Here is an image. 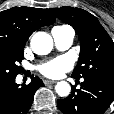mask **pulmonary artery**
Here are the masks:
<instances>
[{"mask_svg":"<svg viewBox=\"0 0 114 114\" xmlns=\"http://www.w3.org/2000/svg\"><path fill=\"white\" fill-rule=\"evenodd\" d=\"M51 35L56 48L66 50L72 45L75 32L72 27L63 25L54 27L51 31Z\"/></svg>","mask_w":114,"mask_h":114,"instance_id":"e3ab8cb5","label":"pulmonary artery"}]
</instances>
